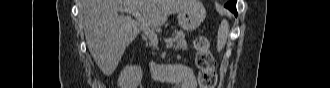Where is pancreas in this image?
I'll use <instances>...</instances> for the list:
<instances>
[{
  "label": "pancreas",
  "instance_id": "obj_1",
  "mask_svg": "<svg viewBox=\"0 0 330 88\" xmlns=\"http://www.w3.org/2000/svg\"><path fill=\"white\" fill-rule=\"evenodd\" d=\"M174 39L176 41V45L174 46L175 49H186L187 42L185 40V35L182 30L176 31L174 33ZM150 46L156 47L157 44H153L151 41L149 42Z\"/></svg>",
  "mask_w": 330,
  "mask_h": 88
}]
</instances>
